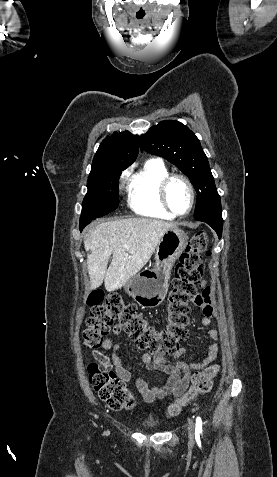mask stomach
<instances>
[{"mask_svg": "<svg viewBox=\"0 0 277 477\" xmlns=\"http://www.w3.org/2000/svg\"><path fill=\"white\" fill-rule=\"evenodd\" d=\"M188 236L183 230L174 227L165 232L155 252L153 269L134 275L124 286L141 307L159 306L166 297L171 268L187 245Z\"/></svg>", "mask_w": 277, "mask_h": 477, "instance_id": "obj_1", "label": "stomach"}]
</instances>
